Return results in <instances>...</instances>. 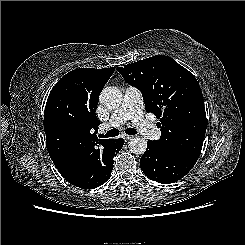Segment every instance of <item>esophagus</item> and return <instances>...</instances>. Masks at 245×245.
I'll use <instances>...</instances> for the list:
<instances>
[{"mask_svg":"<svg viewBox=\"0 0 245 245\" xmlns=\"http://www.w3.org/2000/svg\"><path fill=\"white\" fill-rule=\"evenodd\" d=\"M122 137H123V139H124L125 141H128V140L132 139L134 136H133V135L123 134Z\"/></svg>","mask_w":245,"mask_h":245,"instance_id":"1","label":"esophagus"}]
</instances>
